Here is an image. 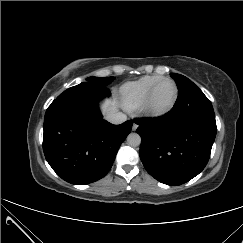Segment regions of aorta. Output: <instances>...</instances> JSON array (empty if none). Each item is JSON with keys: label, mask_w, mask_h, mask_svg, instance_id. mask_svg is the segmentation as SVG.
Listing matches in <instances>:
<instances>
[{"label": "aorta", "mask_w": 243, "mask_h": 243, "mask_svg": "<svg viewBox=\"0 0 243 243\" xmlns=\"http://www.w3.org/2000/svg\"><path fill=\"white\" fill-rule=\"evenodd\" d=\"M127 143L132 147H137L141 143V137L137 133H130L127 137Z\"/></svg>", "instance_id": "aorta-1"}]
</instances>
